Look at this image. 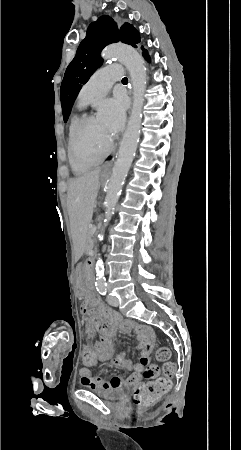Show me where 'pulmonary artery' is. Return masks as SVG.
Instances as JSON below:
<instances>
[{
	"label": "pulmonary artery",
	"instance_id": "1",
	"mask_svg": "<svg viewBox=\"0 0 241 450\" xmlns=\"http://www.w3.org/2000/svg\"><path fill=\"white\" fill-rule=\"evenodd\" d=\"M122 66L120 64H102L101 69H96L93 75V82L88 85V88L83 90L80 99L85 97L103 96L109 90V86L104 87L103 83H107L108 78H121ZM97 92V93H96Z\"/></svg>",
	"mask_w": 241,
	"mask_h": 450
}]
</instances>
